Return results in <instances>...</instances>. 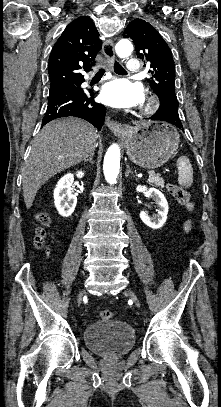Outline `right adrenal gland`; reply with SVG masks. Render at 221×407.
<instances>
[{"mask_svg":"<svg viewBox=\"0 0 221 407\" xmlns=\"http://www.w3.org/2000/svg\"><path fill=\"white\" fill-rule=\"evenodd\" d=\"M93 157H94V153L91 154L87 159H84V163L85 162H90L91 164H94Z\"/></svg>","mask_w":221,"mask_h":407,"instance_id":"obj_1","label":"right adrenal gland"}]
</instances>
